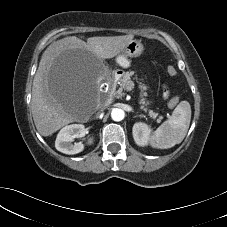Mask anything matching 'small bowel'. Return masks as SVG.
<instances>
[{"mask_svg": "<svg viewBox=\"0 0 227 227\" xmlns=\"http://www.w3.org/2000/svg\"><path fill=\"white\" fill-rule=\"evenodd\" d=\"M169 96V91L167 89H164V97H168Z\"/></svg>", "mask_w": 227, "mask_h": 227, "instance_id": "1", "label": "small bowel"}]
</instances>
